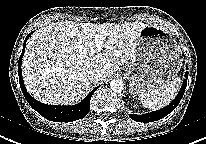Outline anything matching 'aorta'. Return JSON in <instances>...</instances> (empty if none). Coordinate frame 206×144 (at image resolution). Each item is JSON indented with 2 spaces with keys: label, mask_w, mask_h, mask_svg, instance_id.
<instances>
[{
  "label": "aorta",
  "mask_w": 206,
  "mask_h": 144,
  "mask_svg": "<svg viewBox=\"0 0 206 144\" xmlns=\"http://www.w3.org/2000/svg\"><path fill=\"white\" fill-rule=\"evenodd\" d=\"M110 88L114 92H121L124 88V83L121 79H113L110 82Z\"/></svg>",
  "instance_id": "obj_1"
}]
</instances>
